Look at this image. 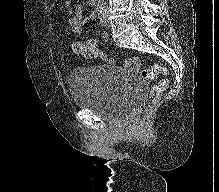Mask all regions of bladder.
<instances>
[{
	"instance_id": "1",
	"label": "bladder",
	"mask_w": 219,
	"mask_h": 192,
	"mask_svg": "<svg viewBox=\"0 0 219 192\" xmlns=\"http://www.w3.org/2000/svg\"><path fill=\"white\" fill-rule=\"evenodd\" d=\"M68 81L75 107L108 122L135 115L145 94L129 71L109 64L74 69Z\"/></svg>"
}]
</instances>
